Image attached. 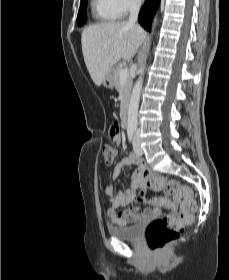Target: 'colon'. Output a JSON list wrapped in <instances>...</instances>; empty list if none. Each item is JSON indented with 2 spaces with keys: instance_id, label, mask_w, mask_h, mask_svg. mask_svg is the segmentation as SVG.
I'll list each match as a JSON object with an SVG mask.
<instances>
[{
  "instance_id": "obj_1",
  "label": "colon",
  "mask_w": 229,
  "mask_h": 280,
  "mask_svg": "<svg viewBox=\"0 0 229 280\" xmlns=\"http://www.w3.org/2000/svg\"><path fill=\"white\" fill-rule=\"evenodd\" d=\"M118 128V124H114L111 128V133H116ZM102 153L105 164L111 165L116 156L115 148L110 144H106ZM145 180L150 188L163 190L181 206L178 211L153 220L146 228L145 239L148 247L153 252H159L175 240L191 221L196 209V201L191 188L182 185L177 180L165 179L160 174L147 175ZM141 200L142 197L140 196H136L133 199L134 202Z\"/></svg>"
}]
</instances>
